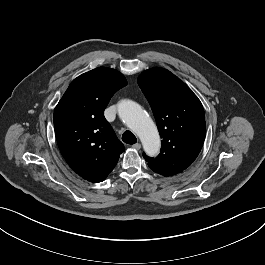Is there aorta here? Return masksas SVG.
I'll return each mask as SVG.
<instances>
[{"instance_id": "762f6f07", "label": "aorta", "mask_w": 265, "mask_h": 265, "mask_svg": "<svg viewBox=\"0 0 265 265\" xmlns=\"http://www.w3.org/2000/svg\"><path fill=\"white\" fill-rule=\"evenodd\" d=\"M121 120L140 138L144 150L155 155L160 149V137L156 125L142 107L134 101L122 100L118 105Z\"/></svg>"}]
</instances>
